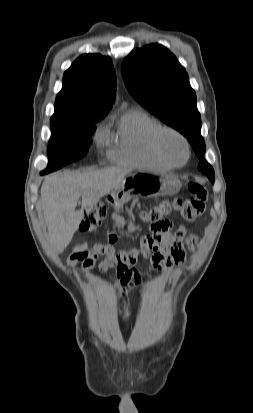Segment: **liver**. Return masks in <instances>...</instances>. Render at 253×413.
<instances>
[{
    "instance_id": "liver-1",
    "label": "liver",
    "mask_w": 253,
    "mask_h": 413,
    "mask_svg": "<svg viewBox=\"0 0 253 413\" xmlns=\"http://www.w3.org/2000/svg\"><path fill=\"white\" fill-rule=\"evenodd\" d=\"M128 169L110 167L74 173H54L47 176L41 187V205L48 229V243L60 254L77 231L85 208L116 189ZM82 198V207L76 210Z\"/></svg>"
}]
</instances>
